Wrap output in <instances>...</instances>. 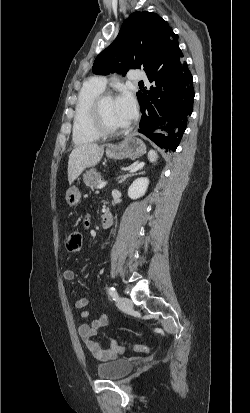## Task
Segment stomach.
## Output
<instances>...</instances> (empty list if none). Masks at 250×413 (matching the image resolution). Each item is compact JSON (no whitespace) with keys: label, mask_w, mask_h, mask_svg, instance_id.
<instances>
[{"label":"stomach","mask_w":250,"mask_h":413,"mask_svg":"<svg viewBox=\"0 0 250 413\" xmlns=\"http://www.w3.org/2000/svg\"><path fill=\"white\" fill-rule=\"evenodd\" d=\"M114 149H107L106 155L112 159L130 158L135 159L146 152V146L139 138L129 136L119 145L113 146ZM66 202L69 206H76L81 199V193L77 186H71L66 192Z\"/></svg>","instance_id":"obj_1"}]
</instances>
